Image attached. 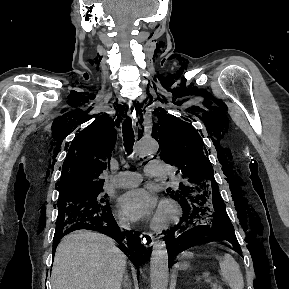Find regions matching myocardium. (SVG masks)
I'll return each mask as SVG.
<instances>
[{
  "mask_svg": "<svg viewBox=\"0 0 289 289\" xmlns=\"http://www.w3.org/2000/svg\"><path fill=\"white\" fill-rule=\"evenodd\" d=\"M181 217V209L172 200H164L152 220L151 226L154 230H162L176 224Z\"/></svg>",
  "mask_w": 289,
  "mask_h": 289,
  "instance_id": "myocardium-1",
  "label": "myocardium"
}]
</instances>
